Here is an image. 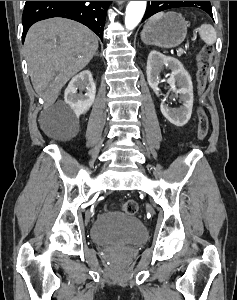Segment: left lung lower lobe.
<instances>
[{
    "label": "left lung lower lobe",
    "mask_w": 237,
    "mask_h": 300,
    "mask_svg": "<svg viewBox=\"0 0 237 300\" xmlns=\"http://www.w3.org/2000/svg\"><path fill=\"white\" fill-rule=\"evenodd\" d=\"M212 18H213V15H212V10H208L207 12Z\"/></svg>",
    "instance_id": "1"
}]
</instances>
